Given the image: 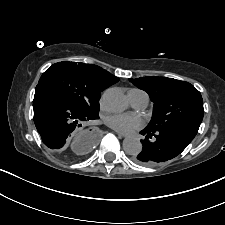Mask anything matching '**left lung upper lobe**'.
Returning a JSON list of instances; mask_svg holds the SVG:
<instances>
[{"instance_id":"obj_1","label":"left lung upper lobe","mask_w":225,"mask_h":225,"mask_svg":"<svg viewBox=\"0 0 225 225\" xmlns=\"http://www.w3.org/2000/svg\"><path fill=\"white\" fill-rule=\"evenodd\" d=\"M129 80L146 91L154 103L147 130L159 132L184 124H201L204 114L203 100L192 84L155 76Z\"/></svg>"}]
</instances>
